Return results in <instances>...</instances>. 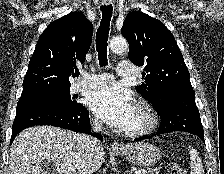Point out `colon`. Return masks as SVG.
I'll use <instances>...</instances> for the list:
<instances>
[{"label": "colon", "instance_id": "obj_1", "mask_svg": "<svg viewBox=\"0 0 224 174\" xmlns=\"http://www.w3.org/2000/svg\"><path fill=\"white\" fill-rule=\"evenodd\" d=\"M168 174H187L185 169H183L179 164L171 163L168 166Z\"/></svg>", "mask_w": 224, "mask_h": 174}]
</instances>
